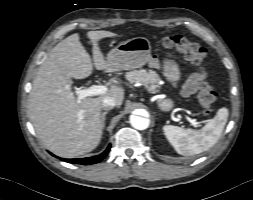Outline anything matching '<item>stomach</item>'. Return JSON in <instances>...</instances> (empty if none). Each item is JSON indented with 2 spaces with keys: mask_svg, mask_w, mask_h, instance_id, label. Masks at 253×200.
I'll list each match as a JSON object with an SVG mask.
<instances>
[{
  "mask_svg": "<svg viewBox=\"0 0 253 200\" xmlns=\"http://www.w3.org/2000/svg\"><path fill=\"white\" fill-rule=\"evenodd\" d=\"M151 53V43L144 37H137L121 42L107 54V62L114 70H130L144 66ZM163 74L170 82L180 80V68L174 60L163 61ZM163 111H169L174 104L171 99H163L158 103Z\"/></svg>",
  "mask_w": 253,
  "mask_h": 200,
  "instance_id": "0dacf381",
  "label": "stomach"
}]
</instances>
